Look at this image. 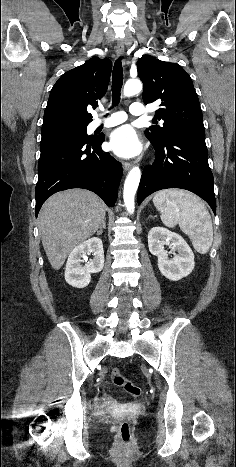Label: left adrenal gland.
I'll use <instances>...</instances> for the list:
<instances>
[{
    "label": "left adrenal gland",
    "instance_id": "a2214340",
    "mask_svg": "<svg viewBox=\"0 0 236 467\" xmlns=\"http://www.w3.org/2000/svg\"><path fill=\"white\" fill-rule=\"evenodd\" d=\"M149 218H152V219H154L155 217L150 215V216L148 217V219H149Z\"/></svg>",
    "mask_w": 236,
    "mask_h": 467
}]
</instances>
